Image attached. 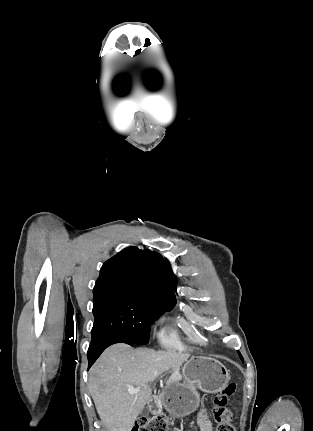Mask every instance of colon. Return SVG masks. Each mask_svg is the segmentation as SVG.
Returning a JSON list of instances; mask_svg holds the SVG:
<instances>
[{"instance_id":"5ec220e1","label":"colon","mask_w":313,"mask_h":431,"mask_svg":"<svg viewBox=\"0 0 313 431\" xmlns=\"http://www.w3.org/2000/svg\"><path fill=\"white\" fill-rule=\"evenodd\" d=\"M235 392L236 384L229 383L214 397L215 431H235L231 423V414L227 408V403ZM132 431H168V426L161 417L143 416L136 421Z\"/></svg>"}]
</instances>
